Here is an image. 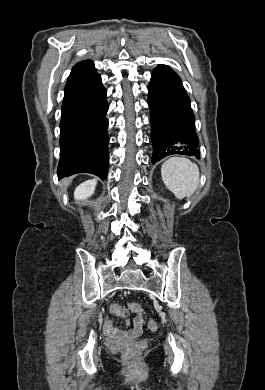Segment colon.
Returning <instances> with one entry per match:
<instances>
[{
  "label": "colon",
  "mask_w": 265,
  "mask_h": 390,
  "mask_svg": "<svg viewBox=\"0 0 265 390\" xmlns=\"http://www.w3.org/2000/svg\"><path fill=\"white\" fill-rule=\"evenodd\" d=\"M128 308L131 312H134V313L142 312V308H141L140 304H138L136 302L129 303ZM110 311L114 315L120 316V317H124L127 315V309L122 307L121 305H119L117 303L111 304ZM148 327L151 331H156L158 329V323L154 320H150L148 322ZM139 348H140V345L128 346L124 352L125 358L128 360H134L138 355Z\"/></svg>",
  "instance_id": "colon-1"
}]
</instances>
